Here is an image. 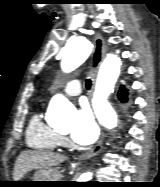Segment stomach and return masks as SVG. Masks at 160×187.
<instances>
[{
    "label": "stomach",
    "mask_w": 160,
    "mask_h": 187,
    "mask_svg": "<svg viewBox=\"0 0 160 187\" xmlns=\"http://www.w3.org/2000/svg\"><path fill=\"white\" fill-rule=\"evenodd\" d=\"M59 173L55 169H47V170H39L37 171L32 180L28 181L31 182L26 186L29 187H48L53 186L52 182H59Z\"/></svg>",
    "instance_id": "0dacf381"
}]
</instances>
